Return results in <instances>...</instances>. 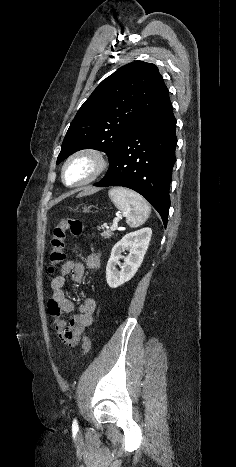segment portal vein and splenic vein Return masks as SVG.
Instances as JSON below:
<instances>
[{
	"label": "portal vein and splenic vein",
	"instance_id": "18ae733b",
	"mask_svg": "<svg viewBox=\"0 0 236 467\" xmlns=\"http://www.w3.org/2000/svg\"><path fill=\"white\" fill-rule=\"evenodd\" d=\"M117 222H118V219H115L114 222H113V225L111 227L112 231H114L117 228Z\"/></svg>",
	"mask_w": 236,
	"mask_h": 467
}]
</instances>
